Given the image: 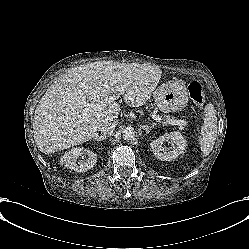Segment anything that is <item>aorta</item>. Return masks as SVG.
<instances>
[{
	"mask_svg": "<svg viewBox=\"0 0 249 249\" xmlns=\"http://www.w3.org/2000/svg\"><path fill=\"white\" fill-rule=\"evenodd\" d=\"M135 131L133 128L131 127H128V128H125L122 132V137L124 140L126 141H134L135 140Z\"/></svg>",
	"mask_w": 249,
	"mask_h": 249,
	"instance_id": "1",
	"label": "aorta"
}]
</instances>
